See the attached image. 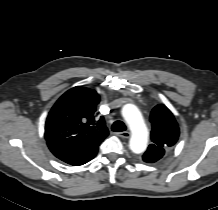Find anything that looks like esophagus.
Returning a JSON list of instances; mask_svg holds the SVG:
<instances>
[{"instance_id": "esophagus-1", "label": "esophagus", "mask_w": 218, "mask_h": 210, "mask_svg": "<svg viewBox=\"0 0 218 210\" xmlns=\"http://www.w3.org/2000/svg\"><path fill=\"white\" fill-rule=\"evenodd\" d=\"M117 136L121 137V138H129L130 137V132L128 131H123V132H119L116 134Z\"/></svg>"}]
</instances>
